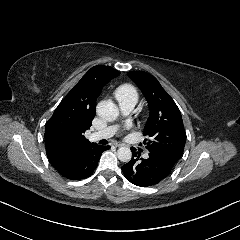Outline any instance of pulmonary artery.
<instances>
[{
  "label": "pulmonary artery",
  "instance_id": "pulmonary-artery-1",
  "mask_svg": "<svg viewBox=\"0 0 240 240\" xmlns=\"http://www.w3.org/2000/svg\"><path fill=\"white\" fill-rule=\"evenodd\" d=\"M133 104L120 105L123 114H129L133 110ZM114 127H107L101 131L94 132L89 136L90 142H97L100 140L108 139L114 132Z\"/></svg>",
  "mask_w": 240,
  "mask_h": 240
}]
</instances>
